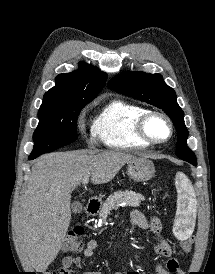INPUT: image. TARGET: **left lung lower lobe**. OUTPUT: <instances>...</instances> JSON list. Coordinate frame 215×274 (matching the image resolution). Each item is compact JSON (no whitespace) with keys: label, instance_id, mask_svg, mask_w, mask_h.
<instances>
[{"label":"left lung lower lobe","instance_id":"left-lung-lower-lobe-1","mask_svg":"<svg viewBox=\"0 0 215 274\" xmlns=\"http://www.w3.org/2000/svg\"><path fill=\"white\" fill-rule=\"evenodd\" d=\"M188 162V161H187ZM189 163H191L192 165H194V166H196V162H189Z\"/></svg>","mask_w":215,"mask_h":274}]
</instances>
